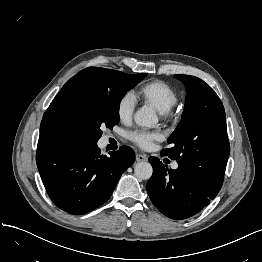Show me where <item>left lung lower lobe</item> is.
<instances>
[{"label": "left lung lower lobe", "instance_id": "left-lung-lower-lobe-1", "mask_svg": "<svg viewBox=\"0 0 262 262\" xmlns=\"http://www.w3.org/2000/svg\"><path fill=\"white\" fill-rule=\"evenodd\" d=\"M153 174L146 185L155 207L165 216L183 220L198 214L218 193L211 192L188 172L168 169L157 157H150Z\"/></svg>", "mask_w": 262, "mask_h": 262}]
</instances>
